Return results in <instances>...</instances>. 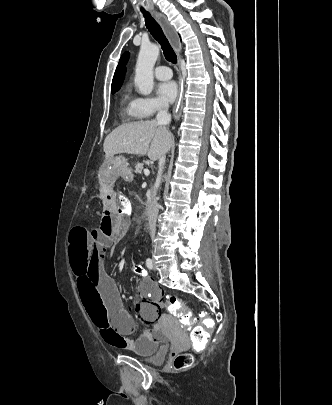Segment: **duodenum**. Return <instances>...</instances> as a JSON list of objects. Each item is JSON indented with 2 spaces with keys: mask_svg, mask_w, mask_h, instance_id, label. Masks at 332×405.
Returning <instances> with one entry per match:
<instances>
[{
  "mask_svg": "<svg viewBox=\"0 0 332 405\" xmlns=\"http://www.w3.org/2000/svg\"><path fill=\"white\" fill-rule=\"evenodd\" d=\"M118 219L125 222L126 221V217L125 216H121L120 214L117 215Z\"/></svg>",
  "mask_w": 332,
  "mask_h": 405,
  "instance_id": "obj_1",
  "label": "duodenum"
}]
</instances>
